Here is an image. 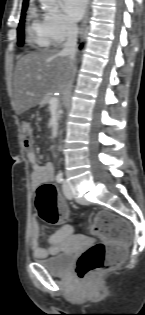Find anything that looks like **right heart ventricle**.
<instances>
[{"mask_svg": "<svg viewBox=\"0 0 145 315\" xmlns=\"http://www.w3.org/2000/svg\"><path fill=\"white\" fill-rule=\"evenodd\" d=\"M27 34L30 46L36 50H46L55 44L44 20L34 10L28 15Z\"/></svg>", "mask_w": 145, "mask_h": 315, "instance_id": "1", "label": "right heart ventricle"}]
</instances>
